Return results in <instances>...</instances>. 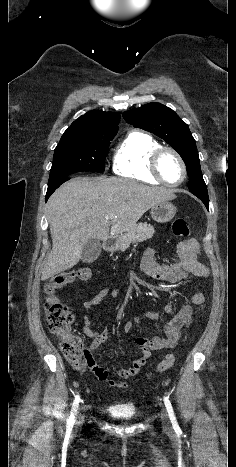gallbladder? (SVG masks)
<instances>
[{
    "label": "gallbladder",
    "mask_w": 236,
    "mask_h": 467,
    "mask_svg": "<svg viewBox=\"0 0 236 467\" xmlns=\"http://www.w3.org/2000/svg\"><path fill=\"white\" fill-rule=\"evenodd\" d=\"M101 253V243L99 240L91 238L89 239L82 250L81 260L84 263L94 262Z\"/></svg>",
    "instance_id": "bac80fb5"
}]
</instances>
